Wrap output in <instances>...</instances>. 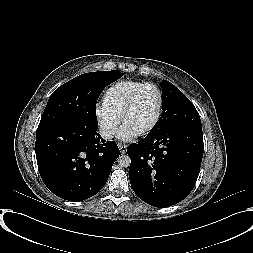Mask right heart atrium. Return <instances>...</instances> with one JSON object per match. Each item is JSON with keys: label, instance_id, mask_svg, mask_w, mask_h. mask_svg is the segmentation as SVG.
<instances>
[{"label": "right heart atrium", "instance_id": "obj_1", "mask_svg": "<svg viewBox=\"0 0 253 253\" xmlns=\"http://www.w3.org/2000/svg\"><path fill=\"white\" fill-rule=\"evenodd\" d=\"M95 120L101 136L110 139L117 131L120 117L107 109L103 104H98L94 110Z\"/></svg>", "mask_w": 253, "mask_h": 253}]
</instances>
